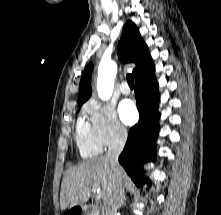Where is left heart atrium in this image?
<instances>
[{
  "label": "left heart atrium",
  "instance_id": "left-heart-atrium-1",
  "mask_svg": "<svg viewBox=\"0 0 221 215\" xmlns=\"http://www.w3.org/2000/svg\"><path fill=\"white\" fill-rule=\"evenodd\" d=\"M119 114L125 124H133L137 119L135 105L130 100H124L119 106Z\"/></svg>",
  "mask_w": 221,
  "mask_h": 215
}]
</instances>
